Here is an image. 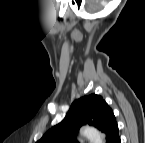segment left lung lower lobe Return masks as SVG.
<instances>
[{
	"instance_id": "obj_1",
	"label": "left lung lower lobe",
	"mask_w": 145,
	"mask_h": 143,
	"mask_svg": "<svg viewBox=\"0 0 145 143\" xmlns=\"http://www.w3.org/2000/svg\"><path fill=\"white\" fill-rule=\"evenodd\" d=\"M112 143H121V142H120V137L117 136V137L113 140Z\"/></svg>"
}]
</instances>
